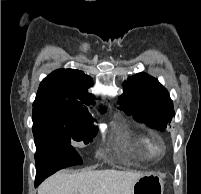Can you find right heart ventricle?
I'll return each mask as SVG.
<instances>
[{"label":"right heart ventricle","instance_id":"e07e8e85","mask_svg":"<svg viewBox=\"0 0 201 194\" xmlns=\"http://www.w3.org/2000/svg\"><path fill=\"white\" fill-rule=\"evenodd\" d=\"M125 137L141 150L146 157L151 158L154 156L151 147L152 139L148 135L129 131L125 134Z\"/></svg>","mask_w":201,"mask_h":194}]
</instances>
